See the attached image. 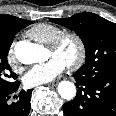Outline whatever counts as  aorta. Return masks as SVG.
<instances>
[{
	"instance_id": "1",
	"label": "aorta",
	"mask_w": 116,
	"mask_h": 116,
	"mask_svg": "<svg viewBox=\"0 0 116 116\" xmlns=\"http://www.w3.org/2000/svg\"><path fill=\"white\" fill-rule=\"evenodd\" d=\"M15 56L23 64H33L46 60L45 49L37 44L20 41L15 45ZM58 92L63 99L71 100L76 95V87L70 81H61L58 85Z\"/></svg>"
}]
</instances>
